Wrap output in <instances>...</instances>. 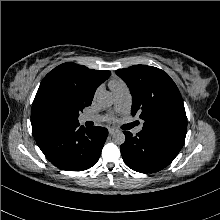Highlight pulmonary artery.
Returning <instances> with one entry per match:
<instances>
[{"instance_id": "obj_1", "label": "pulmonary artery", "mask_w": 220, "mask_h": 220, "mask_svg": "<svg viewBox=\"0 0 220 220\" xmlns=\"http://www.w3.org/2000/svg\"><path fill=\"white\" fill-rule=\"evenodd\" d=\"M113 96H114V100H115V105L117 108H122L124 107L127 102H128V98H129V90L127 88V86L124 84L120 87H118L117 89L113 90ZM101 120L102 118H95L92 116H82L80 118V121L82 123L87 122V121H91V120ZM142 130V126H138L135 129V133H138Z\"/></svg>"}]
</instances>
